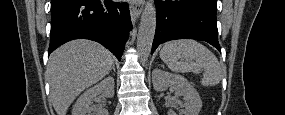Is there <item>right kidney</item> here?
Here are the masks:
<instances>
[{
  "mask_svg": "<svg viewBox=\"0 0 285 115\" xmlns=\"http://www.w3.org/2000/svg\"><path fill=\"white\" fill-rule=\"evenodd\" d=\"M114 85V79L112 77H107L99 84L86 90L73 106L72 115L90 114L92 110L91 104L99 94H102L106 98L114 96ZM96 115H108V111L101 108L97 111Z\"/></svg>",
  "mask_w": 285,
  "mask_h": 115,
  "instance_id": "ca27d5eb",
  "label": "right kidney"
}]
</instances>
